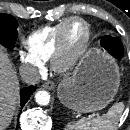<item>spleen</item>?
Returning a JSON list of instances; mask_svg holds the SVG:
<instances>
[{
	"label": "spleen",
	"instance_id": "spleen-1",
	"mask_svg": "<svg viewBox=\"0 0 130 130\" xmlns=\"http://www.w3.org/2000/svg\"><path fill=\"white\" fill-rule=\"evenodd\" d=\"M124 110L122 102L113 105L103 116L81 118L76 123H68L64 130H113Z\"/></svg>",
	"mask_w": 130,
	"mask_h": 130
}]
</instances>
